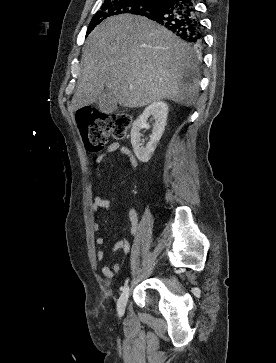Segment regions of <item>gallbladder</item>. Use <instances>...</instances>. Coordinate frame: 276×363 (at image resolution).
I'll list each match as a JSON object with an SVG mask.
<instances>
[{
  "instance_id": "1",
  "label": "gallbladder",
  "mask_w": 276,
  "mask_h": 363,
  "mask_svg": "<svg viewBox=\"0 0 276 363\" xmlns=\"http://www.w3.org/2000/svg\"><path fill=\"white\" fill-rule=\"evenodd\" d=\"M97 104L100 111L106 114L113 113L118 109V105L108 89L104 91L101 98L97 101Z\"/></svg>"
}]
</instances>
